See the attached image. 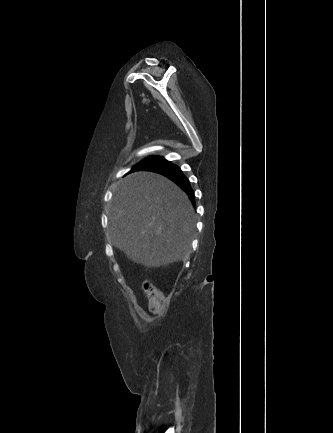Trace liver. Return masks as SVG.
<instances>
[{"label": "liver", "mask_w": 333, "mask_h": 433, "mask_svg": "<svg viewBox=\"0 0 333 433\" xmlns=\"http://www.w3.org/2000/svg\"><path fill=\"white\" fill-rule=\"evenodd\" d=\"M113 244L135 263L160 267L188 258L194 209L185 192L152 172L118 182L109 213Z\"/></svg>", "instance_id": "liver-1"}]
</instances>
